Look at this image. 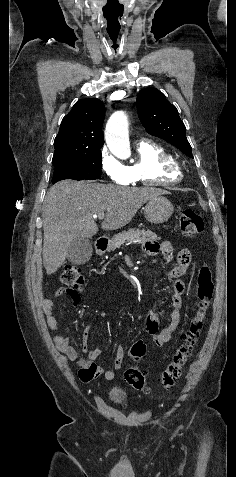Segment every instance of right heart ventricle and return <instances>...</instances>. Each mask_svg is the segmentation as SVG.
Returning <instances> with one entry per match:
<instances>
[{
  "label": "right heart ventricle",
  "instance_id": "obj_1",
  "mask_svg": "<svg viewBox=\"0 0 236 477\" xmlns=\"http://www.w3.org/2000/svg\"><path fill=\"white\" fill-rule=\"evenodd\" d=\"M137 158L133 164L127 166L130 175L129 185H173L181 180L180 171L164 173L161 165L173 161V156L161 144L143 140L136 145Z\"/></svg>",
  "mask_w": 236,
  "mask_h": 477
}]
</instances>
